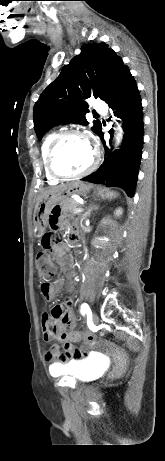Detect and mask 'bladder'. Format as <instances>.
Segmentation results:
<instances>
[{"label": "bladder", "mask_w": 165, "mask_h": 461, "mask_svg": "<svg viewBox=\"0 0 165 461\" xmlns=\"http://www.w3.org/2000/svg\"><path fill=\"white\" fill-rule=\"evenodd\" d=\"M102 361L94 356L74 361L63 368L62 372L70 374L78 382H87L98 378L102 373Z\"/></svg>", "instance_id": "31cf9c89"}]
</instances>
